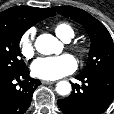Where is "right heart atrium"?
<instances>
[{"instance_id": "d8ad5b80", "label": "right heart atrium", "mask_w": 114, "mask_h": 114, "mask_svg": "<svg viewBox=\"0 0 114 114\" xmlns=\"http://www.w3.org/2000/svg\"><path fill=\"white\" fill-rule=\"evenodd\" d=\"M35 29L25 31L19 41V49L23 57L30 58L34 54Z\"/></svg>"}]
</instances>
